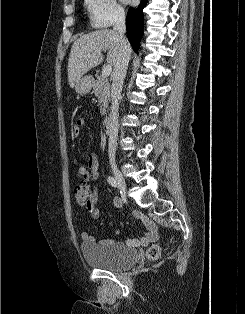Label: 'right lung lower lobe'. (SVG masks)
I'll return each mask as SVG.
<instances>
[{"instance_id": "98d812e1", "label": "right lung lower lobe", "mask_w": 245, "mask_h": 314, "mask_svg": "<svg viewBox=\"0 0 245 314\" xmlns=\"http://www.w3.org/2000/svg\"><path fill=\"white\" fill-rule=\"evenodd\" d=\"M148 0H141L138 8H129L126 18L127 37L133 49L136 51L139 47V42L143 34V8L146 6Z\"/></svg>"}]
</instances>
